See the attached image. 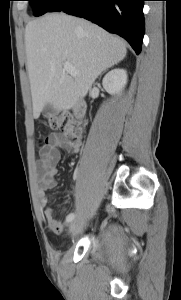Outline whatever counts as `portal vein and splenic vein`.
Here are the masks:
<instances>
[{
  "label": "portal vein and splenic vein",
  "instance_id": "portal-vein-and-splenic-vein-1",
  "mask_svg": "<svg viewBox=\"0 0 181 300\" xmlns=\"http://www.w3.org/2000/svg\"><path fill=\"white\" fill-rule=\"evenodd\" d=\"M64 70L70 74L71 76H76L78 74V71L75 69V67L69 63V62H65L64 65Z\"/></svg>",
  "mask_w": 181,
  "mask_h": 300
}]
</instances>
